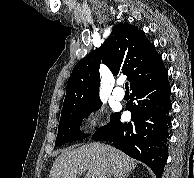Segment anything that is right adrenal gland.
<instances>
[{
	"mask_svg": "<svg viewBox=\"0 0 194 178\" xmlns=\"http://www.w3.org/2000/svg\"><path fill=\"white\" fill-rule=\"evenodd\" d=\"M128 177H129V173L126 174V175H123V176H121V177H118V178H128Z\"/></svg>",
	"mask_w": 194,
	"mask_h": 178,
	"instance_id": "obj_1",
	"label": "right adrenal gland"
}]
</instances>
